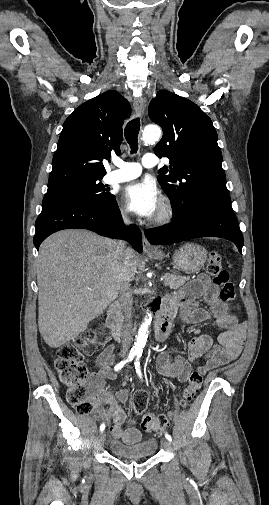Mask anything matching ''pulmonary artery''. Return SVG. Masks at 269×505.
Wrapping results in <instances>:
<instances>
[{
    "instance_id": "e3ab8cb5",
    "label": "pulmonary artery",
    "mask_w": 269,
    "mask_h": 505,
    "mask_svg": "<svg viewBox=\"0 0 269 505\" xmlns=\"http://www.w3.org/2000/svg\"><path fill=\"white\" fill-rule=\"evenodd\" d=\"M113 163L117 169L108 174L107 180L110 183H119L137 178L141 174L142 166L146 168L154 167L157 165L158 159L154 154L148 153L143 156L141 165L135 162H125L120 159H115Z\"/></svg>"
}]
</instances>
